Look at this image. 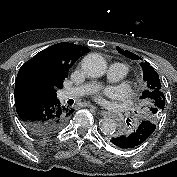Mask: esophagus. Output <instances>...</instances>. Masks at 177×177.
I'll use <instances>...</instances> for the list:
<instances>
[{
    "label": "esophagus",
    "mask_w": 177,
    "mask_h": 177,
    "mask_svg": "<svg viewBox=\"0 0 177 177\" xmlns=\"http://www.w3.org/2000/svg\"><path fill=\"white\" fill-rule=\"evenodd\" d=\"M100 114L105 116V115L108 114V112H107V111H104V110H101V111H100Z\"/></svg>",
    "instance_id": "esophagus-1"
}]
</instances>
